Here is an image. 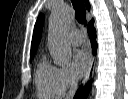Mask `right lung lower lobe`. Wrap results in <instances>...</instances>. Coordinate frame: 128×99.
I'll list each match as a JSON object with an SVG mask.
<instances>
[{
  "label": "right lung lower lobe",
  "mask_w": 128,
  "mask_h": 99,
  "mask_svg": "<svg viewBox=\"0 0 128 99\" xmlns=\"http://www.w3.org/2000/svg\"><path fill=\"white\" fill-rule=\"evenodd\" d=\"M88 34L91 40L92 50L93 53L96 52L97 49V43H96V30L94 28V21L91 20L87 26ZM91 89V82H89L85 87H80L77 91L75 98L76 99H86L89 91Z\"/></svg>",
  "instance_id": "right-lung-lower-lobe-1"
}]
</instances>
